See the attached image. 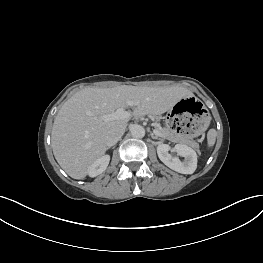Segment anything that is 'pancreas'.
Listing matches in <instances>:
<instances>
[{"label": "pancreas", "mask_w": 263, "mask_h": 263, "mask_svg": "<svg viewBox=\"0 0 263 263\" xmlns=\"http://www.w3.org/2000/svg\"><path fill=\"white\" fill-rule=\"evenodd\" d=\"M157 130L162 134L161 137L164 139H169L173 142L186 144V145L191 146L194 149H199V144L196 141L186 138V137L178 136L175 133V131L170 128L158 127Z\"/></svg>", "instance_id": "1"}]
</instances>
